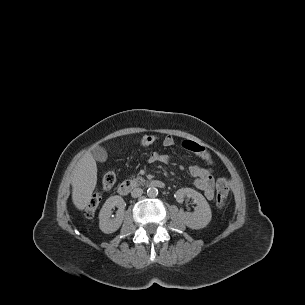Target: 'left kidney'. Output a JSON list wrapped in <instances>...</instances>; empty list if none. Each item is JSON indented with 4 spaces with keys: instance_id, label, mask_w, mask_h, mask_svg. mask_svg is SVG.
<instances>
[{
    "instance_id": "1",
    "label": "left kidney",
    "mask_w": 305,
    "mask_h": 305,
    "mask_svg": "<svg viewBox=\"0 0 305 305\" xmlns=\"http://www.w3.org/2000/svg\"><path fill=\"white\" fill-rule=\"evenodd\" d=\"M192 198L197 205L194 212L179 211L180 220L191 229L206 227L212 218L211 208L204 196L191 188H181L175 193L177 202L182 203L184 198Z\"/></svg>"
}]
</instances>
